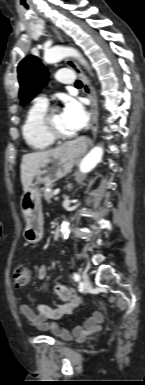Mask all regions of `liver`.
Segmentation results:
<instances>
[{
	"mask_svg": "<svg viewBox=\"0 0 145 385\" xmlns=\"http://www.w3.org/2000/svg\"><path fill=\"white\" fill-rule=\"evenodd\" d=\"M54 150L37 151L23 155L21 162V182L24 192L30 188L40 164Z\"/></svg>",
	"mask_w": 145,
	"mask_h": 385,
	"instance_id": "obj_1",
	"label": "liver"
}]
</instances>
